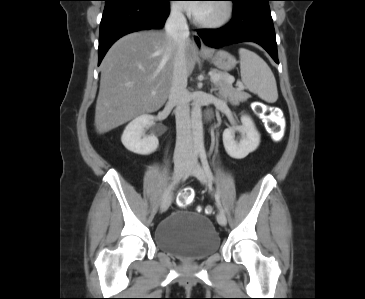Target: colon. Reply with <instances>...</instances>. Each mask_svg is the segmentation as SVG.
<instances>
[{"instance_id": "colon-1", "label": "colon", "mask_w": 365, "mask_h": 299, "mask_svg": "<svg viewBox=\"0 0 365 299\" xmlns=\"http://www.w3.org/2000/svg\"><path fill=\"white\" fill-rule=\"evenodd\" d=\"M267 118L268 133L274 140H280L284 134V121L279 115V111L272 107H267L265 112H260ZM272 115H274L272 117ZM194 191L190 188L182 189L177 196V203L181 207L190 205L194 199ZM210 211V209H208Z\"/></svg>"}]
</instances>
